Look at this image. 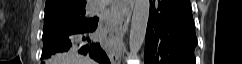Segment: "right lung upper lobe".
<instances>
[{
	"mask_svg": "<svg viewBox=\"0 0 242 64\" xmlns=\"http://www.w3.org/2000/svg\"><path fill=\"white\" fill-rule=\"evenodd\" d=\"M86 5V0H46L45 13L56 10L77 9Z\"/></svg>",
	"mask_w": 242,
	"mask_h": 64,
	"instance_id": "right-lung-upper-lobe-1",
	"label": "right lung upper lobe"
}]
</instances>
